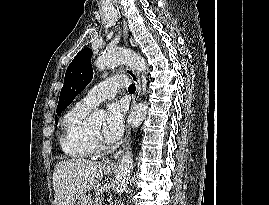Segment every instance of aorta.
<instances>
[{"label": "aorta", "mask_w": 269, "mask_h": 205, "mask_svg": "<svg viewBox=\"0 0 269 205\" xmlns=\"http://www.w3.org/2000/svg\"><path fill=\"white\" fill-rule=\"evenodd\" d=\"M118 64H127L138 72H145L147 70L144 58L127 49L109 50L103 53L95 61V66L99 70H105ZM147 111L148 105L146 103L136 104L128 117L129 125L132 127H138L145 119ZM99 120L100 118L95 114L90 117V121L92 122H97ZM132 169L133 155L129 145L120 159L115 176L113 189L117 194H121L126 189Z\"/></svg>", "instance_id": "obj_1"}]
</instances>
